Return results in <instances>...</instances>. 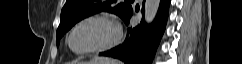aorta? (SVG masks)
Returning a JSON list of instances; mask_svg holds the SVG:
<instances>
[{
  "mask_svg": "<svg viewBox=\"0 0 242 64\" xmlns=\"http://www.w3.org/2000/svg\"><path fill=\"white\" fill-rule=\"evenodd\" d=\"M160 0H146L145 1V22L151 24L158 12Z\"/></svg>",
  "mask_w": 242,
  "mask_h": 64,
  "instance_id": "aorta-1",
  "label": "aorta"
}]
</instances>
